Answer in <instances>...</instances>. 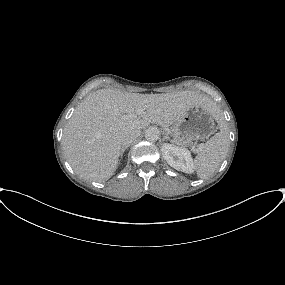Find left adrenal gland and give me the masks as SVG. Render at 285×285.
Wrapping results in <instances>:
<instances>
[{
  "instance_id": "obj_1",
  "label": "left adrenal gland",
  "mask_w": 285,
  "mask_h": 285,
  "mask_svg": "<svg viewBox=\"0 0 285 285\" xmlns=\"http://www.w3.org/2000/svg\"><path fill=\"white\" fill-rule=\"evenodd\" d=\"M163 140H169V137L167 135H165Z\"/></svg>"
}]
</instances>
